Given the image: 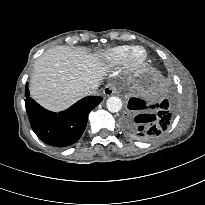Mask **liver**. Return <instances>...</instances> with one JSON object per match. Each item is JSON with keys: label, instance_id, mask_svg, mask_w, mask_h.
Segmentation results:
<instances>
[{"label": "liver", "instance_id": "1", "mask_svg": "<svg viewBox=\"0 0 205 205\" xmlns=\"http://www.w3.org/2000/svg\"><path fill=\"white\" fill-rule=\"evenodd\" d=\"M102 53L83 47L56 46L46 50L34 63L30 94L51 111H62L99 84L106 75Z\"/></svg>", "mask_w": 205, "mask_h": 205}]
</instances>
